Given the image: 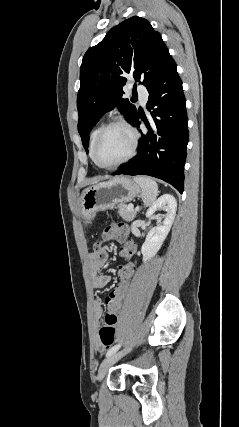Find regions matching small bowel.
<instances>
[{
  "mask_svg": "<svg viewBox=\"0 0 239 427\" xmlns=\"http://www.w3.org/2000/svg\"><path fill=\"white\" fill-rule=\"evenodd\" d=\"M109 250L107 248H100L88 255V265L91 273L92 286L95 289H102L106 287L111 280V277L107 274H102L100 270L106 264L108 260ZM135 253V251H134ZM108 305H106L107 307ZM103 309L102 303L99 300H95L93 304V315L96 320L102 317ZM97 349L102 351L104 346L101 343H97Z\"/></svg>",
  "mask_w": 239,
  "mask_h": 427,
  "instance_id": "1",
  "label": "small bowel"
}]
</instances>
